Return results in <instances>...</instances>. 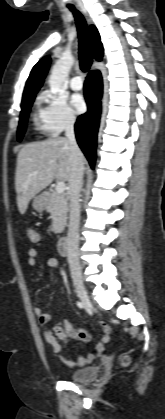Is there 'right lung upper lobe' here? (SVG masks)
Instances as JSON below:
<instances>
[{
    "label": "right lung upper lobe",
    "mask_w": 165,
    "mask_h": 419,
    "mask_svg": "<svg viewBox=\"0 0 165 419\" xmlns=\"http://www.w3.org/2000/svg\"><path fill=\"white\" fill-rule=\"evenodd\" d=\"M90 39L92 45V54L96 60H101L103 56V47L100 41V35L94 25L90 28ZM50 65V57L42 58L32 69L30 76L26 82V86L23 92L22 101L35 95L41 88L44 78L48 72Z\"/></svg>",
    "instance_id": "1"
}]
</instances>
